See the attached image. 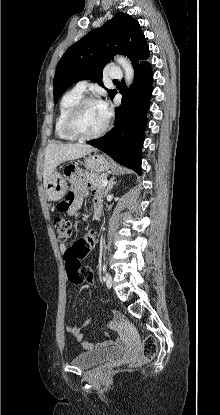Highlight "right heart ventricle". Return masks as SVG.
Listing matches in <instances>:
<instances>
[{
  "instance_id": "right-heart-ventricle-1",
  "label": "right heart ventricle",
  "mask_w": 220,
  "mask_h": 415,
  "mask_svg": "<svg viewBox=\"0 0 220 415\" xmlns=\"http://www.w3.org/2000/svg\"><path fill=\"white\" fill-rule=\"evenodd\" d=\"M82 98L83 93L76 89L69 90L62 96L55 119V135L59 139L68 141L75 140V138L69 135L65 130L64 122L69 110Z\"/></svg>"
}]
</instances>
